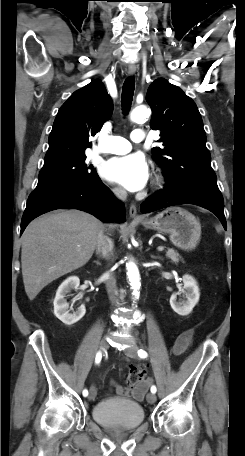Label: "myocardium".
<instances>
[{
    "mask_svg": "<svg viewBox=\"0 0 245 456\" xmlns=\"http://www.w3.org/2000/svg\"><path fill=\"white\" fill-rule=\"evenodd\" d=\"M155 182L158 184L160 182V179L156 178Z\"/></svg>",
    "mask_w": 245,
    "mask_h": 456,
    "instance_id": "myocardium-1",
    "label": "myocardium"
}]
</instances>
